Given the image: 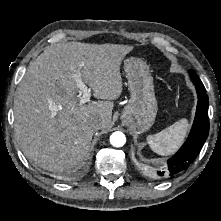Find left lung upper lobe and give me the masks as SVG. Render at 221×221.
<instances>
[{
  "mask_svg": "<svg viewBox=\"0 0 221 221\" xmlns=\"http://www.w3.org/2000/svg\"><path fill=\"white\" fill-rule=\"evenodd\" d=\"M189 75L191 77V80L193 81V83H202L201 80L198 78V76L196 75V73L193 70L189 71Z\"/></svg>",
  "mask_w": 221,
  "mask_h": 221,
  "instance_id": "1",
  "label": "left lung upper lobe"
}]
</instances>
